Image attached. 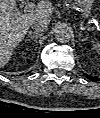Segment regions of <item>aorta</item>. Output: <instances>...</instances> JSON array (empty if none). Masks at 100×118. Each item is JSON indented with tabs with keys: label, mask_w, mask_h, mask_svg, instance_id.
<instances>
[{
	"label": "aorta",
	"mask_w": 100,
	"mask_h": 118,
	"mask_svg": "<svg viewBox=\"0 0 100 118\" xmlns=\"http://www.w3.org/2000/svg\"><path fill=\"white\" fill-rule=\"evenodd\" d=\"M72 29L67 25H60L55 31V38L60 43H66L71 40Z\"/></svg>",
	"instance_id": "762f6f07"
}]
</instances>
